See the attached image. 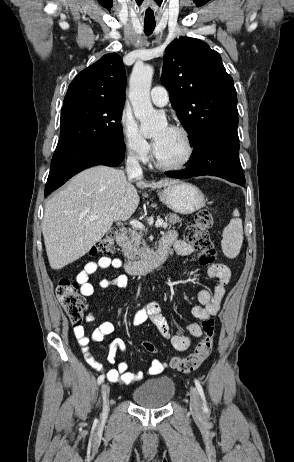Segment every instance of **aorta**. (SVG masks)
<instances>
[{"label": "aorta", "mask_w": 294, "mask_h": 462, "mask_svg": "<svg viewBox=\"0 0 294 462\" xmlns=\"http://www.w3.org/2000/svg\"><path fill=\"white\" fill-rule=\"evenodd\" d=\"M153 72L150 65H135L130 78L129 99L145 135L152 134L162 124L150 100Z\"/></svg>", "instance_id": "762f6f07"}]
</instances>
